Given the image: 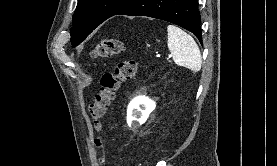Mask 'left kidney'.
Here are the masks:
<instances>
[{
  "label": "left kidney",
  "mask_w": 277,
  "mask_h": 166,
  "mask_svg": "<svg viewBox=\"0 0 277 166\" xmlns=\"http://www.w3.org/2000/svg\"><path fill=\"white\" fill-rule=\"evenodd\" d=\"M155 107L156 103L144 95L132 99L127 107L128 126L135 128L145 123Z\"/></svg>",
  "instance_id": "left-kidney-1"
}]
</instances>
